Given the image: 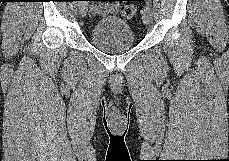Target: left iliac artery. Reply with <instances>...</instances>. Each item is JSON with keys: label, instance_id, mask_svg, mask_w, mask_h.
<instances>
[{"label": "left iliac artery", "instance_id": "44dca946", "mask_svg": "<svg viewBox=\"0 0 229 161\" xmlns=\"http://www.w3.org/2000/svg\"><path fill=\"white\" fill-rule=\"evenodd\" d=\"M145 1H146L147 5L151 6V4H152L151 0H145Z\"/></svg>", "mask_w": 229, "mask_h": 161}]
</instances>
